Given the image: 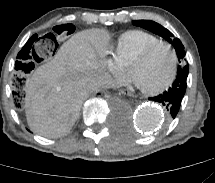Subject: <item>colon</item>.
<instances>
[{
  "mask_svg": "<svg viewBox=\"0 0 215 183\" xmlns=\"http://www.w3.org/2000/svg\"><path fill=\"white\" fill-rule=\"evenodd\" d=\"M73 32V24L62 23L54 26L51 33L34 36L27 42L20 53L19 71L12 77V86L20 103L24 99L22 89L26 84L27 75L33 71L36 64L51 59L56 53L59 42L71 36Z\"/></svg>",
  "mask_w": 215,
  "mask_h": 183,
  "instance_id": "5ec220e1",
  "label": "colon"
}]
</instances>
